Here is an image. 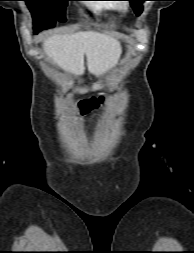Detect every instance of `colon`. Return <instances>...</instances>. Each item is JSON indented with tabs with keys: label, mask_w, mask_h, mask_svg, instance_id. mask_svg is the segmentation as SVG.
Here are the masks:
<instances>
[{
	"label": "colon",
	"mask_w": 194,
	"mask_h": 253,
	"mask_svg": "<svg viewBox=\"0 0 194 253\" xmlns=\"http://www.w3.org/2000/svg\"><path fill=\"white\" fill-rule=\"evenodd\" d=\"M103 97H92L83 99L79 102L78 108L81 114L87 115L100 107L103 103Z\"/></svg>",
	"instance_id": "colon-1"
}]
</instances>
